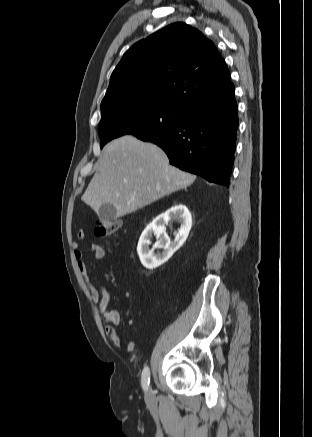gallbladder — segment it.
I'll list each match as a JSON object with an SVG mask.
<instances>
[{"mask_svg":"<svg viewBox=\"0 0 312 437\" xmlns=\"http://www.w3.org/2000/svg\"><path fill=\"white\" fill-rule=\"evenodd\" d=\"M103 221H111L116 218V208L112 204H102L97 212Z\"/></svg>","mask_w":312,"mask_h":437,"instance_id":"1","label":"gallbladder"}]
</instances>
